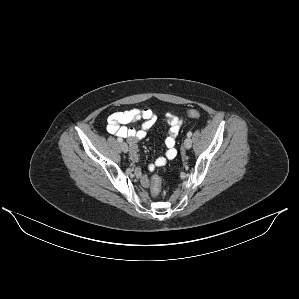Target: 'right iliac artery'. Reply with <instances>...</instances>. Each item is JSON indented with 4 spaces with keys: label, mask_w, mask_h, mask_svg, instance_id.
Instances as JSON below:
<instances>
[{
    "label": "right iliac artery",
    "mask_w": 299,
    "mask_h": 299,
    "mask_svg": "<svg viewBox=\"0 0 299 299\" xmlns=\"http://www.w3.org/2000/svg\"><path fill=\"white\" fill-rule=\"evenodd\" d=\"M117 140H118V142H122L123 141V139L120 138V137H118Z\"/></svg>",
    "instance_id": "right-iliac-artery-1"
}]
</instances>
